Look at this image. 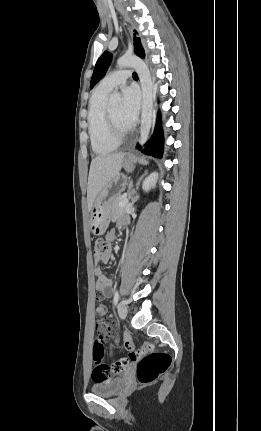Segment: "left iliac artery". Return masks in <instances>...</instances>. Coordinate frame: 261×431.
Here are the masks:
<instances>
[{
    "mask_svg": "<svg viewBox=\"0 0 261 431\" xmlns=\"http://www.w3.org/2000/svg\"><path fill=\"white\" fill-rule=\"evenodd\" d=\"M118 300H119V293H118V291L116 290V291H115V294H114V298H113L114 305H116V304H117Z\"/></svg>",
    "mask_w": 261,
    "mask_h": 431,
    "instance_id": "left-iliac-artery-1",
    "label": "left iliac artery"
}]
</instances>
